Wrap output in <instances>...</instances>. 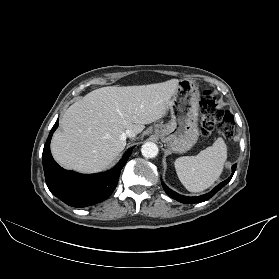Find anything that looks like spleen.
Returning <instances> with one entry per match:
<instances>
[{
    "label": "spleen",
    "instance_id": "obj_1",
    "mask_svg": "<svg viewBox=\"0 0 279 279\" xmlns=\"http://www.w3.org/2000/svg\"><path fill=\"white\" fill-rule=\"evenodd\" d=\"M226 159L227 146L222 138H218L198 155L179 157L174 164L184 187L190 192H201L219 179Z\"/></svg>",
    "mask_w": 279,
    "mask_h": 279
}]
</instances>
